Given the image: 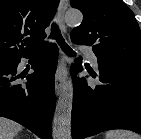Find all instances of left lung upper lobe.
Here are the masks:
<instances>
[{
    "label": "left lung upper lobe",
    "instance_id": "left-lung-upper-lobe-1",
    "mask_svg": "<svg viewBox=\"0 0 141 139\" xmlns=\"http://www.w3.org/2000/svg\"><path fill=\"white\" fill-rule=\"evenodd\" d=\"M82 23L71 32L73 43L92 45L98 58L141 65V34L133 12L122 0H71Z\"/></svg>",
    "mask_w": 141,
    "mask_h": 139
}]
</instances>
